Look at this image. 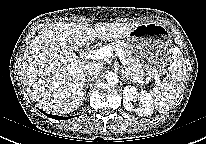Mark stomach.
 Returning <instances> with one entry per match:
<instances>
[{
	"label": "stomach",
	"instance_id": "stomach-1",
	"mask_svg": "<svg viewBox=\"0 0 206 144\" xmlns=\"http://www.w3.org/2000/svg\"><path fill=\"white\" fill-rule=\"evenodd\" d=\"M137 60L142 77L161 76L167 72L173 46L171 34L160 23L139 24L123 40Z\"/></svg>",
	"mask_w": 206,
	"mask_h": 144
}]
</instances>
